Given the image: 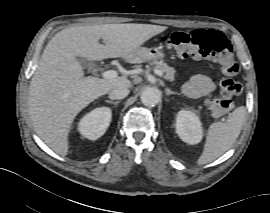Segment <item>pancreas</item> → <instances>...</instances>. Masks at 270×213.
<instances>
[{"label":"pancreas","mask_w":270,"mask_h":213,"mask_svg":"<svg viewBox=\"0 0 270 213\" xmlns=\"http://www.w3.org/2000/svg\"><path fill=\"white\" fill-rule=\"evenodd\" d=\"M151 65H153L156 69L161 70L162 72H164L165 73L164 77L168 81L173 82L175 80L176 71L174 70V68L168 66L165 62L154 60L153 62H151Z\"/></svg>","instance_id":"obj_1"}]
</instances>
